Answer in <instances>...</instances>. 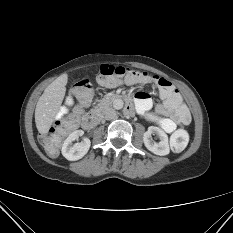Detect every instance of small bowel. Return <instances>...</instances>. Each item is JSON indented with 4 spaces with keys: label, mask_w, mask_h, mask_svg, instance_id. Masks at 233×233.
Listing matches in <instances>:
<instances>
[{
    "label": "small bowel",
    "mask_w": 233,
    "mask_h": 233,
    "mask_svg": "<svg viewBox=\"0 0 233 233\" xmlns=\"http://www.w3.org/2000/svg\"><path fill=\"white\" fill-rule=\"evenodd\" d=\"M152 77H147L138 80L135 83H127L129 85L138 83H151ZM161 102L157 104L154 110L151 111L153 102L150 96L145 92H137L135 94L136 108L137 111L144 115L148 120L157 123L162 130L166 133H172L176 130L178 125H187L190 122V114L187 107L183 104V118L181 120H176L173 116L175 111L174 107L169 103L168 100L162 98ZM182 101V98H181ZM90 104V100L83 104L84 108H87Z\"/></svg>",
    "instance_id": "c3829d8e"
}]
</instances>
